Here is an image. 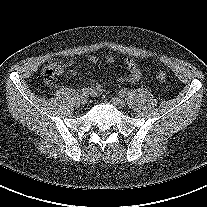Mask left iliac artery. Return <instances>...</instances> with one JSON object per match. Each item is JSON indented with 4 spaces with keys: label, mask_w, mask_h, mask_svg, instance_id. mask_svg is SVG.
Returning a JSON list of instances; mask_svg holds the SVG:
<instances>
[{
    "label": "left iliac artery",
    "mask_w": 207,
    "mask_h": 207,
    "mask_svg": "<svg viewBox=\"0 0 207 207\" xmlns=\"http://www.w3.org/2000/svg\"><path fill=\"white\" fill-rule=\"evenodd\" d=\"M119 95H120L121 97L126 96V91H125V90H121V91L119 92Z\"/></svg>",
    "instance_id": "1"
}]
</instances>
